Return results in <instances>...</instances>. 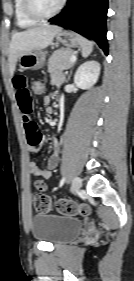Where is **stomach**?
<instances>
[{"label": "stomach", "instance_id": "obj_1", "mask_svg": "<svg viewBox=\"0 0 134 281\" xmlns=\"http://www.w3.org/2000/svg\"><path fill=\"white\" fill-rule=\"evenodd\" d=\"M56 40L67 48L77 47L80 36L74 32L60 30L56 34ZM46 55L42 51L26 52L18 58V65L22 70H38L44 66Z\"/></svg>", "mask_w": 134, "mask_h": 281}]
</instances>
